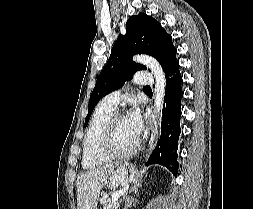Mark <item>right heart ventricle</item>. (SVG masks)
Masks as SVG:
<instances>
[{
    "label": "right heart ventricle",
    "mask_w": 253,
    "mask_h": 209,
    "mask_svg": "<svg viewBox=\"0 0 253 209\" xmlns=\"http://www.w3.org/2000/svg\"><path fill=\"white\" fill-rule=\"evenodd\" d=\"M113 111L114 108L100 102L92 115L83 139L82 166L86 169L100 167L108 161L99 155L98 142L101 130Z\"/></svg>",
    "instance_id": "1"
}]
</instances>
